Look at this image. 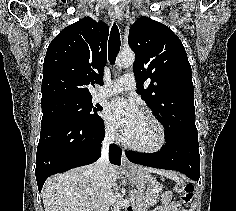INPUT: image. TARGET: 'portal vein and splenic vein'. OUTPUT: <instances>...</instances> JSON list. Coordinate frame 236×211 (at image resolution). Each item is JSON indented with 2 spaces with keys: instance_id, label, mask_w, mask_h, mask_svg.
Segmentation results:
<instances>
[{
  "instance_id": "1",
  "label": "portal vein and splenic vein",
  "mask_w": 236,
  "mask_h": 211,
  "mask_svg": "<svg viewBox=\"0 0 236 211\" xmlns=\"http://www.w3.org/2000/svg\"><path fill=\"white\" fill-rule=\"evenodd\" d=\"M130 200L133 201L134 199L131 197Z\"/></svg>"
}]
</instances>
